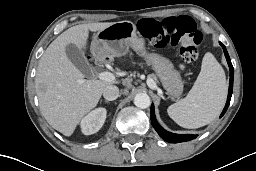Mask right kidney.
<instances>
[{
    "label": "right kidney",
    "instance_id": "1",
    "mask_svg": "<svg viewBox=\"0 0 256 171\" xmlns=\"http://www.w3.org/2000/svg\"><path fill=\"white\" fill-rule=\"evenodd\" d=\"M105 108H97L88 113L80 123L81 131L85 135H91L100 130L106 119Z\"/></svg>",
    "mask_w": 256,
    "mask_h": 171
}]
</instances>
